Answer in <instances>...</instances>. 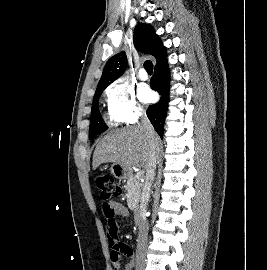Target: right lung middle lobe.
Here are the masks:
<instances>
[{
  "label": "right lung middle lobe",
  "mask_w": 267,
  "mask_h": 270,
  "mask_svg": "<svg viewBox=\"0 0 267 270\" xmlns=\"http://www.w3.org/2000/svg\"><path fill=\"white\" fill-rule=\"evenodd\" d=\"M103 91L95 93L92 103L91 121L89 130V139H92L97 134L107 130V125L103 121L98 108L99 97Z\"/></svg>",
  "instance_id": "obj_1"
}]
</instances>
